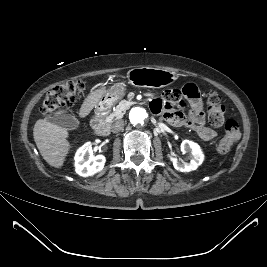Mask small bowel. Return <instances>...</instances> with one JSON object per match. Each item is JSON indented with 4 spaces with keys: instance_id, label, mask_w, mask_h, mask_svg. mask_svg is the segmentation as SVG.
Instances as JSON below:
<instances>
[{
    "instance_id": "small-bowel-1",
    "label": "small bowel",
    "mask_w": 267,
    "mask_h": 267,
    "mask_svg": "<svg viewBox=\"0 0 267 267\" xmlns=\"http://www.w3.org/2000/svg\"><path fill=\"white\" fill-rule=\"evenodd\" d=\"M186 103L190 107L187 116L182 111ZM150 108L170 124L190 128L205 141H210L217 135L214 129L206 125L203 101L198 87L193 83H187L181 89L165 91L162 98H155L150 102Z\"/></svg>"
}]
</instances>
